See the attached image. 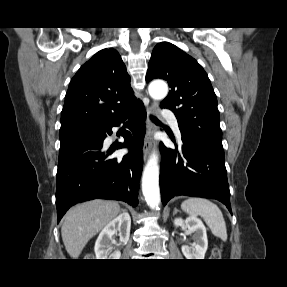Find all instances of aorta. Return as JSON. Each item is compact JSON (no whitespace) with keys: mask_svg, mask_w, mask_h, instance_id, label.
<instances>
[{"mask_svg":"<svg viewBox=\"0 0 287 287\" xmlns=\"http://www.w3.org/2000/svg\"><path fill=\"white\" fill-rule=\"evenodd\" d=\"M149 95L155 100H162L168 94V86L163 81H154L148 87ZM142 193L151 209H158L160 204L158 155L153 152L142 175Z\"/></svg>","mask_w":287,"mask_h":287,"instance_id":"obj_1","label":"aorta"}]
</instances>
